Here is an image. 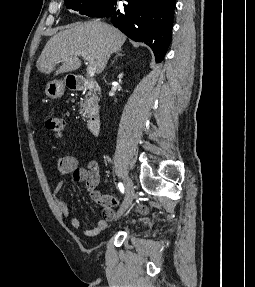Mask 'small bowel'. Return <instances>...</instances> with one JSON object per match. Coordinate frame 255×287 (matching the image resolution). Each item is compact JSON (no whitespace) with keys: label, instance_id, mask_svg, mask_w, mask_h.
<instances>
[{"label":"small bowel","instance_id":"c3829d8e","mask_svg":"<svg viewBox=\"0 0 255 287\" xmlns=\"http://www.w3.org/2000/svg\"><path fill=\"white\" fill-rule=\"evenodd\" d=\"M58 171L63 176H71L76 182L85 183L90 195L94 201H96L102 207V216L97 224L91 229L85 230L84 235L93 237L100 234L107 228V222L112 220L114 216V206L116 200L114 197L106 194H102L96 189L99 183V174L95 166H90L89 169H84L79 166L78 160L74 156H63L58 161ZM64 180H61L53 193L55 204L60 214L68 218L72 228L77 229L80 226V221L77 217L71 215L67 203L60 196V190L64 185ZM142 211H146L142 208Z\"/></svg>","mask_w":255,"mask_h":287}]
</instances>
